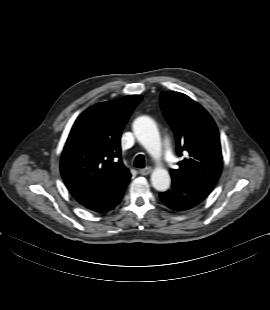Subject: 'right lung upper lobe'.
I'll list each match as a JSON object with an SVG mask.
<instances>
[{
	"mask_svg": "<svg viewBox=\"0 0 270 310\" xmlns=\"http://www.w3.org/2000/svg\"><path fill=\"white\" fill-rule=\"evenodd\" d=\"M139 95L101 102L75 121L61 158V175L71 195L81 201L96 196L129 170L122 164L120 137Z\"/></svg>",
	"mask_w": 270,
	"mask_h": 310,
	"instance_id": "obj_1",
	"label": "right lung upper lobe"
}]
</instances>
